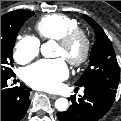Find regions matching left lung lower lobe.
<instances>
[{
	"instance_id": "obj_1",
	"label": "left lung lower lobe",
	"mask_w": 121,
	"mask_h": 121,
	"mask_svg": "<svg viewBox=\"0 0 121 121\" xmlns=\"http://www.w3.org/2000/svg\"><path fill=\"white\" fill-rule=\"evenodd\" d=\"M116 90L101 85L84 87V96L72 95V105L65 112H58L60 121H98L112 106Z\"/></svg>"
}]
</instances>
